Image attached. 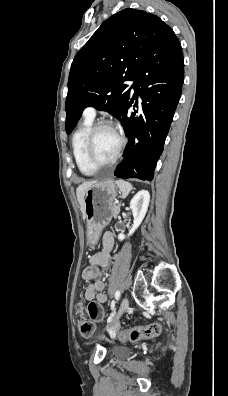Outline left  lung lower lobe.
<instances>
[{
  "mask_svg": "<svg viewBox=\"0 0 228 396\" xmlns=\"http://www.w3.org/2000/svg\"><path fill=\"white\" fill-rule=\"evenodd\" d=\"M183 80L182 48L173 30L168 28L149 46L131 86L134 94L122 111L120 121L128 144L125 157L114 172L116 177L153 179L181 96ZM138 96L142 100L139 106ZM132 105L134 112L129 113Z\"/></svg>",
  "mask_w": 228,
  "mask_h": 396,
  "instance_id": "left-lung-lower-lobe-1",
  "label": "left lung lower lobe"
}]
</instances>
